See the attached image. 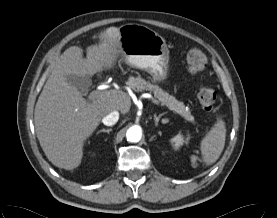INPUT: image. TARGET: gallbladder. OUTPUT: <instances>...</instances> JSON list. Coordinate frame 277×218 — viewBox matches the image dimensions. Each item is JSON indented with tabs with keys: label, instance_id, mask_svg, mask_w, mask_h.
<instances>
[{
	"label": "gallbladder",
	"instance_id": "bac80fb5",
	"mask_svg": "<svg viewBox=\"0 0 277 218\" xmlns=\"http://www.w3.org/2000/svg\"><path fill=\"white\" fill-rule=\"evenodd\" d=\"M67 81L76 87L80 92L84 93L91 86L89 76H80L77 74H69L66 76Z\"/></svg>",
	"mask_w": 277,
	"mask_h": 218
}]
</instances>
